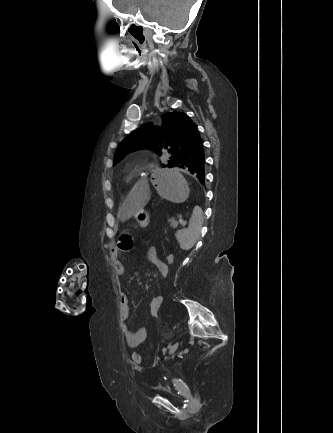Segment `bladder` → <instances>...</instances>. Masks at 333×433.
Returning a JSON list of instances; mask_svg holds the SVG:
<instances>
[{
    "mask_svg": "<svg viewBox=\"0 0 333 433\" xmlns=\"http://www.w3.org/2000/svg\"><path fill=\"white\" fill-rule=\"evenodd\" d=\"M158 390L162 393V394H164V395H167V396H169V397H171V398H174V399H179L180 398V395L179 394H177L176 392H174L173 390H171L169 387H167V386H159L158 387Z\"/></svg>",
    "mask_w": 333,
    "mask_h": 433,
    "instance_id": "obj_1",
    "label": "bladder"
}]
</instances>
